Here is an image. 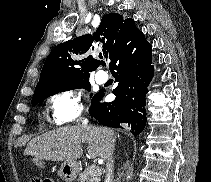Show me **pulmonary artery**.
Listing matches in <instances>:
<instances>
[{
	"mask_svg": "<svg viewBox=\"0 0 211 182\" xmlns=\"http://www.w3.org/2000/svg\"><path fill=\"white\" fill-rule=\"evenodd\" d=\"M107 78L108 76L104 71H99L95 76V79L99 84L105 83L107 81Z\"/></svg>",
	"mask_w": 211,
	"mask_h": 182,
	"instance_id": "e3ab8cb5",
	"label": "pulmonary artery"
}]
</instances>
